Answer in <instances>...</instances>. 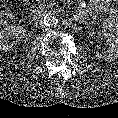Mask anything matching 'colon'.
<instances>
[{"mask_svg":"<svg viewBox=\"0 0 118 118\" xmlns=\"http://www.w3.org/2000/svg\"><path fill=\"white\" fill-rule=\"evenodd\" d=\"M29 3L35 4L38 0H27ZM13 21V13L12 11L5 7L4 5H0V26L9 25Z\"/></svg>","mask_w":118,"mask_h":118,"instance_id":"1","label":"colon"}]
</instances>
